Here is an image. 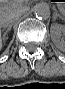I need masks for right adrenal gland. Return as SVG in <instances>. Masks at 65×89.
Segmentation results:
<instances>
[{"label":"right adrenal gland","mask_w":65,"mask_h":89,"mask_svg":"<svg viewBox=\"0 0 65 89\" xmlns=\"http://www.w3.org/2000/svg\"><path fill=\"white\" fill-rule=\"evenodd\" d=\"M11 29H12V24L4 26L2 30V32L4 31L3 35L6 37V35L11 31Z\"/></svg>","instance_id":"obj_1"}]
</instances>
